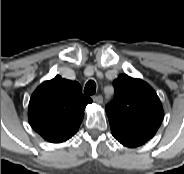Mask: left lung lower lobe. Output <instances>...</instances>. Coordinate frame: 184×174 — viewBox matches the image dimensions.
Masks as SVG:
<instances>
[{"mask_svg":"<svg viewBox=\"0 0 184 174\" xmlns=\"http://www.w3.org/2000/svg\"><path fill=\"white\" fill-rule=\"evenodd\" d=\"M111 133L114 136V138H116L121 144L127 147H137L147 142L146 140L130 137L128 135L116 132L114 130H111Z\"/></svg>","mask_w":184,"mask_h":174,"instance_id":"1","label":"left lung lower lobe"}]
</instances>
